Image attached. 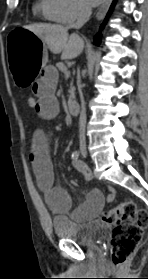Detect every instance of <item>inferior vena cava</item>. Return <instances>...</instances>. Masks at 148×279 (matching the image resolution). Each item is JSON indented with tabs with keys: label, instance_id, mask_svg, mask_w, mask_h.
Masks as SVG:
<instances>
[{
	"label": "inferior vena cava",
	"instance_id": "inferior-vena-cava-1",
	"mask_svg": "<svg viewBox=\"0 0 148 279\" xmlns=\"http://www.w3.org/2000/svg\"><path fill=\"white\" fill-rule=\"evenodd\" d=\"M92 10L88 6H80L78 9L77 21L71 28L80 29L90 18ZM85 126H86V108L83 96H81V112L79 118V138H80V147L85 148Z\"/></svg>",
	"mask_w": 148,
	"mask_h": 279
}]
</instances>
